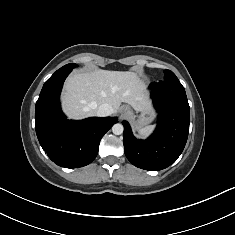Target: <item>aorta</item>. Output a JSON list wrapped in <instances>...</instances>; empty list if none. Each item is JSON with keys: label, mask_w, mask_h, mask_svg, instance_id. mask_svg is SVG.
I'll return each instance as SVG.
<instances>
[{"label": "aorta", "mask_w": 235, "mask_h": 235, "mask_svg": "<svg viewBox=\"0 0 235 235\" xmlns=\"http://www.w3.org/2000/svg\"><path fill=\"white\" fill-rule=\"evenodd\" d=\"M123 130H124L123 125H122V124H119V123L113 125V127H112V132H113L115 135H120V134H122V133H123Z\"/></svg>", "instance_id": "aorta-1"}]
</instances>
